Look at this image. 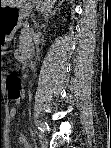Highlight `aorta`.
<instances>
[{"label": "aorta", "instance_id": "762f6f07", "mask_svg": "<svg viewBox=\"0 0 111 148\" xmlns=\"http://www.w3.org/2000/svg\"><path fill=\"white\" fill-rule=\"evenodd\" d=\"M54 2L55 0H45V2L42 3L40 11L44 16L48 15V13L51 11Z\"/></svg>", "mask_w": 111, "mask_h": 148}]
</instances>
